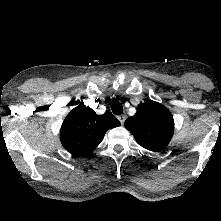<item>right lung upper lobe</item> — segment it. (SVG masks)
Masks as SVG:
<instances>
[{
  "instance_id": "obj_1",
  "label": "right lung upper lobe",
  "mask_w": 221,
  "mask_h": 221,
  "mask_svg": "<svg viewBox=\"0 0 221 221\" xmlns=\"http://www.w3.org/2000/svg\"><path fill=\"white\" fill-rule=\"evenodd\" d=\"M120 125L111 113L97 115L81 103L65 118L60 131L61 142L70 153L85 156L99 145L108 129Z\"/></svg>"
}]
</instances>
